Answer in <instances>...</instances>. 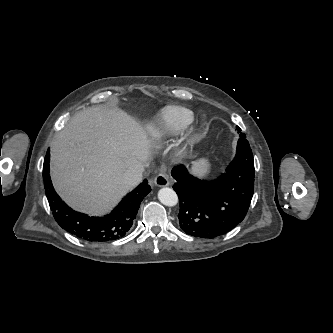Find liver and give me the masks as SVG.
Wrapping results in <instances>:
<instances>
[{"instance_id": "obj_1", "label": "liver", "mask_w": 333, "mask_h": 333, "mask_svg": "<svg viewBox=\"0 0 333 333\" xmlns=\"http://www.w3.org/2000/svg\"><path fill=\"white\" fill-rule=\"evenodd\" d=\"M50 154L60 197L75 210L102 215L128 192L123 174L133 162H147L150 141L126 112L94 106L71 118Z\"/></svg>"}]
</instances>
